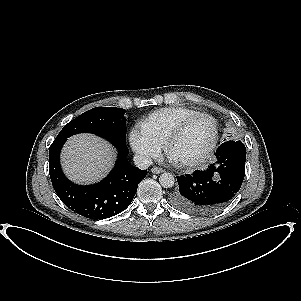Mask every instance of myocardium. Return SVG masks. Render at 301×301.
Returning a JSON list of instances; mask_svg holds the SVG:
<instances>
[{
    "label": "myocardium",
    "instance_id": "f54148a6",
    "mask_svg": "<svg viewBox=\"0 0 301 301\" xmlns=\"http://www.w3.org/2000/svg\"><path fill=\"white\" fill-rule=\"evenodd\" d=\"M198 119H207L212 123L213 135H212V138H211V141H210L208 147L206 148V150L204 151L203 154H201L199 157H197L193 160H188V161L182 162L183 165H185L186 167H191V168L199 167V166H202L205 163H207L210 159L212 152L214 151V149L216 147V144L218 141V125H217L216 120L212 116L205 114V113H198L194 116H191V117L185 119L168 135V137L166 138V140L164 142V149H165L166 153L169 155L171 147L174 144V142L183 135V133L185 132L187 127L192 122H194Z\"/></svg>",
    "mask_w": 301,
    "mask_h": 301
}]
</instances>
